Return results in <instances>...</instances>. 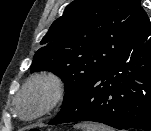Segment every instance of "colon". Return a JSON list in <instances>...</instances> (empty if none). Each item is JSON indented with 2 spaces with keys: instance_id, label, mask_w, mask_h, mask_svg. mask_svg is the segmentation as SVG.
Returning <instances> with one entry per match:
<instances>
[{
  "instance_id": "colon-1",
  "label": "colon",
  "mask_w": 151,
  "mask_h": 131,
  "mask_svg": "<svg viewBox=\"0 0 151 131\" xmlns=\"http://www.w3.org/2000/svg\"><path fill=\"white\" fill-rule=\"evenodd\" d=\"M25 131H42V130L37 127H30V128H26Z\"/></svg>"
}]
</instances>
